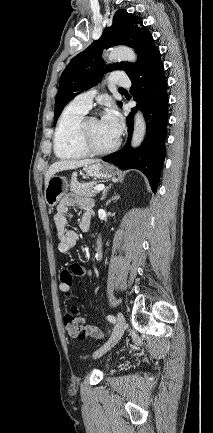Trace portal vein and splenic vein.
Wrapping results in <instances>:
<instances>
[{"label":"portal vein and splenic vein","mask_w":213,"mask_h":433,"mask_svg":"<svg viewBox=\"0 0 213 433\" xmlns=\"http://www.w3.org/2000/svg\"><path fill=\"white\" fill-rule=\"evenodd\" d=\"M104 188H105L104 185H98V186L94 187V190H96V191H101V190H103Z\"/></svg>","instance_id":"obj_1"}]
</instances>
